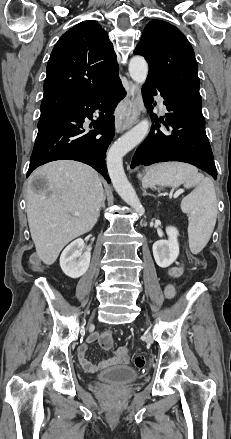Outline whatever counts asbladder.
<instances>
[{"label": "bladder", "mask_w": 231, "mask_h": 439, "mask_svg": "<svg viewBox=\"0 0 231 439\" xmlns=\"http://www.w3.org/2000/svg\"><path fill=\"white\" fill-rule=\"evenodd\" d=\"M137 372L126 365L115 366L102 371L97 375V379L104 382H112L119 384H128L136 381Z\"/></svg>", "instance_id": "31cf9c89"}]
</instances>
